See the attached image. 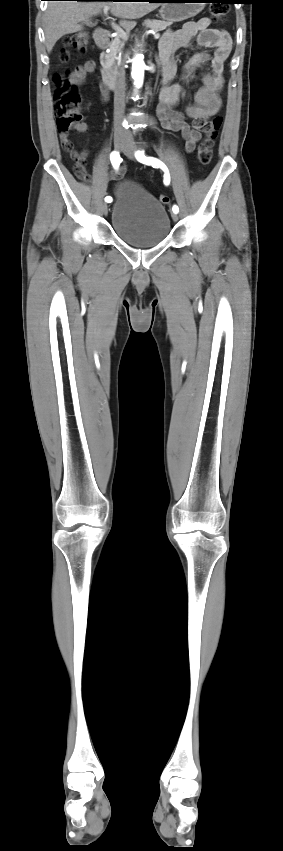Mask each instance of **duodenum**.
Wrapping results in <instances>:
<instances>
[{"label":"duodenum","instance_id":"obj_1","mask_svg":"<svg viewBox=\"0 0 283 851\" xmlns=\"http://www.w3.org/2000/svg\"><path fill=\"white\" fill-rule=\"evenodd\" d=\"M110 40H111V33L108 30L100 29L95 34V42H96L97 46L100 47V48H106L109 45ZM102 74L104 76L102 83H106L109 86V90H110L113 87V84H114L113 76L111 75L110 71L107 70V69L104 70Z\"/></svg>","mask_w":283,"mask_h":851}]
</instances>
